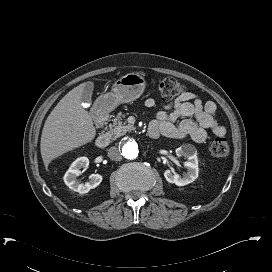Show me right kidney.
Returning a JSON list of instances; mask_svg holds the SVG:
<instances>
[{
    "instance_id": "1",
    "label": "right kidney",
    "mask_w": 272,
    "mask_h": 272,
    "mask_svg": "<svg viewBox=\"0 0 272 272\" xmlns=\"http://www.w3.org/2000/svg\"><path fill=\"white\" fill-rule=\"evenodd\" d=\"M88 165H89V159L87 157L77 158L71 164L68 171L65 173L63 177L65 184L70 189L80 194L88 193L91 189H94L95 187H97L102 181V176L98 173L91 174L89 176V181L86 182L85 184H80L76 180V177H78L82 173L81 169H86Z\"/></svg>"
}]
</instances>
